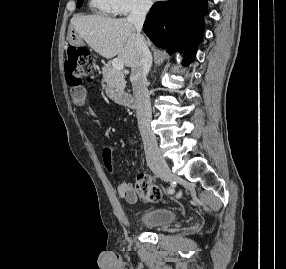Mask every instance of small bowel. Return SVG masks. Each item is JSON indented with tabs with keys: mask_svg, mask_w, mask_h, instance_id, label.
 Here are the masks:
<instances>
[{
	"mask_svg": "<svg viewBox=\"0 0 286 269\" xmlns=\"http://www.w3.org/2000/svg\"><path fill=\"white\" fill-rule=\"evenodd\" d=\"M122 89L121 88H108V93H121ZM112 99H121V94H112ZM71 98L72 101L76 104H84L86 100V93L84 89L82 88H73L71 90ZM88 114L92 116V112L89 110ZM117 149L115 146L112 145H106L103 149V163L105 168L113 173L115 168H114V155L116 153ZM149 178L150 176L147 175ZM116 190L118 195L125 199L127 202L133 203L136 202L138 197L136 194V190L133 185L121 181L118 182L116 185Z\"/></svg>",
	"mask_w": 286,
	"mask_h": 269,
	"instance_id": "c3829d8e",
	"label": "small bowel"
}]
</instances>
